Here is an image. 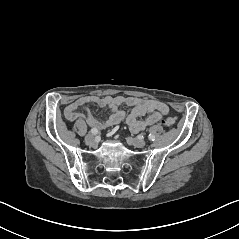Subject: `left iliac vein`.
Here are the masks:
<instances>
[{"instance_id":"1","label":"left iliac vein","mask_w":239,"mask_h":239,"mask_svg":"<svg viewBox=\"0 0 239 239\" xmlns=\"http://www.w3.org/2000/svg\"><path fill=\"white\" fill-rule=\"evenodd\" d=\"M130 142L133 146L137 148H143L146 145V142L141 139L131 138Z\"/></svg>"}]
</instances>
